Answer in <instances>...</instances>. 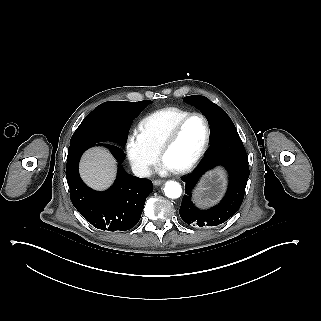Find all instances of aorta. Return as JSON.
Returning <instances> with one entry per match:
<instances>
[{
	"mask_svg": "<svg viewBox=\"0 0 321 321\" xmlns=\"http://www.w3.org/2000/svg\"><path fill=\"white\" fill-rule=\"evenodd\" d=\"M165 196L171 199L179 198L182 194V187L176 181H168L164 188Z\"/></svg>",
	"mask_w": 321,
	"mask_h": 321,
	"instance_id": "1",
	"label": "aorta"
}]
</instances>
